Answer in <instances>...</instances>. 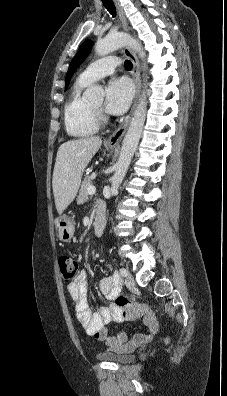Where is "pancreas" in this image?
<instances>
[{
    "mask_svg": "<svg viewBox=\"0 0 227 396\" xmlns=\"http://www.w3.org/2000/svg\"><path fill=\"white\" fill-rule=\"evenodd\" d=\"M89 186H92V178L87 176V177H85L84 181L82 182L81 189L79 191V195L77 198L78 203L82 204L87 200V198H88L87 189Z\"/></svg>",
    "mask_w": 227,
    "mask_h": 396,
    "instance_id": "pancreas-1",
    "label": "pancreas"
}]
</instances>
